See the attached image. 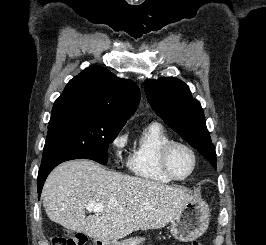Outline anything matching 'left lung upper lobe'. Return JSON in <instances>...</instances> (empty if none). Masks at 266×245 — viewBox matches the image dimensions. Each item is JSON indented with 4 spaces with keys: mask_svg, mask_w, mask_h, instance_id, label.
Returning <instances> with one entry per match:
<instances>
[{
    "mask_svg": "<svg viewBox=\"0 0 266 245\" xmlns=\"http://www.w3.org/2000/svg\"><path fill=\"white\" fill-rule=\"evenodd\" d=\"M144 89L153 110L216 168V152L200 103L188 86L174 77L146 80Z\"/></svg>",
    "mask_w": 266,
    "mask_h": 245,
    "instance_id": "left-lung-upper-lobe-1",
    "label": "left lung upper lobe"
}]
</instances>
